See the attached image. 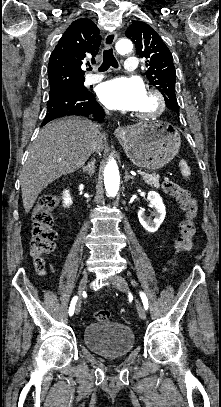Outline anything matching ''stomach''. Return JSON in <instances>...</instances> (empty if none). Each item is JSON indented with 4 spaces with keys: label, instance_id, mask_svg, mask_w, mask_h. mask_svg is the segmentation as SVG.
Masks as SVG:
<instances>
[{
    "label": "stomach",
    "instance_id": "0dacf381",
    "mask_svg": "<svg viewBox=\"0 0 221 407\" xmlns=\"http://www.w3.org/2000/svg\"><path fill=\"white\" fill-rule=\"evenodd\" d=\"M127 157L138 167L156 170L178 153L181 137L165 122H145L128 127L119 137Z\"/></svg>",
    "mask_w": 221,
    "mask_h": 407
}]
</instances>
